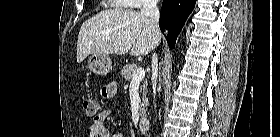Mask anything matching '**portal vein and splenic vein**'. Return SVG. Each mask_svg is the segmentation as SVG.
<instances>
[{"label": "portal vein and splenic vein", "instance_id": "obj_1", "mask_svg": "<svg viewBox=\"0 0 280 137\" xmlns=\"http://www.w3.org/2000/svg\"><path fill=\"white\" fill-rule=\"evenodd\" d=\"M145 77V70L139 67L132 75L131 83L140 82Z\"/></svg>", "mask_w": 280, "mask_h": 137}]
</instances>
